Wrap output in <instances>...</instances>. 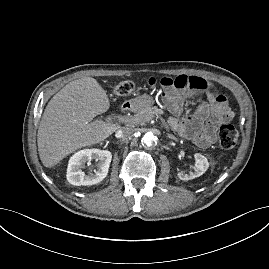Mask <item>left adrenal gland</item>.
<instances>
[{"instance_id":"left-adrenal-gland-1","label":"left adrenal gland","mask_w":269,"mask_h":269,"mask_svg":"<svg viewBox=\"0 0 269 269\" xmlns=\"http://www.w3.org/2000/svg\"><path fill=\"white\" fill-rule=\"evenodd\" d=\"M166 138H169V139H172V140H175V141L177 140L176 137H174V136L171 135V134H167V135H166Z\"/></svg>"}]
</instances>
